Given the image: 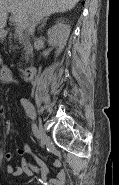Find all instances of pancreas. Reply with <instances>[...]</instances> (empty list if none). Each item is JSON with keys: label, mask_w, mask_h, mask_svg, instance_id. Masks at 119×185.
<instances>
[{"label": "pancreas", "mask_w": 119, "mask_h": 185, "mask_svg": "<svg viewBox=\"0 0 119 185\" xmlns=\"http://www.w3.org/2000/svg\"><path fill=\"white\" fill-rule=\"evenodd\" d=\"M14 42L18 41L19 44H22L24 46L25 50V59L28 61L29 55L31 53V45L29 41L27 40L26 36L23 35V33H15L14 34ZM9 42L12 43V38H9Z\"/></svg>", "instance_id": "pancreas-1"}]
</instances>
